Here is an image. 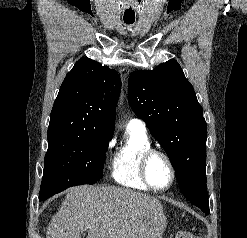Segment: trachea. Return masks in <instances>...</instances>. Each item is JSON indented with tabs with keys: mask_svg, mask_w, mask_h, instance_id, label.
I'll use <instances>...</instances> for the list:
<instances>
[{
	"mask_svg": "<svg viewBox=\"0 0 247 238\" xmlns=\"http://www.w3.org/2000/svg\"><path fill=\"white\" fill-rule=\"evenodd\" d=\"M125 23L130 25V24H133L134 21H125Z\"/></svg>",
	"mask_w": 247,
	"mask_h": 238,
	"instance_id": "3493384b",
	"label": "trachea"
}]
</instances>
